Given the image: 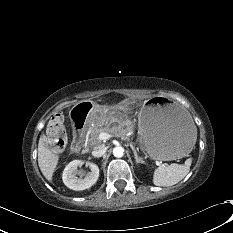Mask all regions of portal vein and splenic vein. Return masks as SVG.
<instances>
[{
    "label": "portal vein and splenic vein",
    "mask_w": 233,
    "mask_h": 233,
    "mask_svg": "<svg viewBox=\"0 0 233 233\" xmlns=\"http://www.w3.org/2000/svg\"><path fill=\"white\" fill-rule=\"evenodd\" d=\"M111 137H112V135H110V134H108L106 132H101L99 134L100 140H103V141H106V140L110 139Z\"/></svg>",
    "instance_id": "1"
}]
</instances>
